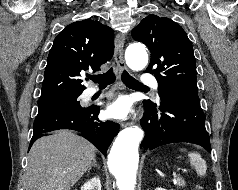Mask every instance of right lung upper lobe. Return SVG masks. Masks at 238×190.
Returning <instances> with one entry per match:
<instances>
[{
  "mask_svg": "<svg viewBox=\"0 0 238 190\" xmlns=\"http://www.w3.org/2000/svg\"><path fill=\"white\" fill-rule=\"evenodd\" d=\"M112 33L110 27L91 19L66 26L49 52L39 101L80 95L86 88L81 73L96 72L112 58Z\"/></svg>",
  "mask_w": 238,
  "mask_h": 190,
  "instance_id": "cb5924a9",
  "label": "right lung upper lobe"
}]
</instances>
